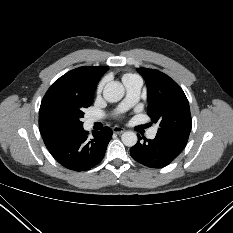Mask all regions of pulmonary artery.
I'll return each mask as SVG.
<instances>
[{
	"label": "pulmonary artery",
	"mask_w": 233,
	"mask_h": 233,
	"mask_svg": "<svg viewBox=\"0 0 233 233\" xmlns=\"http://www.w3.org/2000/svg\"><path fill=\"white\" fill-rule=\"evenodd\" d=\"M124 85L126 88V98L124 99V101L122 102L120 108L123 109H127L129 107H131L132 105H134L138 99H139V95H140V90L142 87V80L140 77L138 76H133L127 80L124 81ZM96 121L95 118H89L88 119V123L92 124ZM157 133V128L154 127L153 129H151L148 133V137L150 139H154Z\"/></svg>",
	"instance_id": "e3ab8cb5"
}]
</instances>
